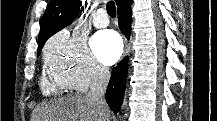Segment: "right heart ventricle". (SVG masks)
I'll return each instance as SVG.
<instances>
[{
    "instance_id": "e07e8e85",
    "label": "right heart ventricle",
    "mask_w": 217,
    "mask_h": 121,
    "mask_svg": "<svg viewBox=\"0 0 217 121\" xmlns=\"http://www.w3.org/2000/svg\"><path fill=\"white\" fill-rule=\"evenodd\" d=\"M41 88L45 94H62L68 87L57 80H49L45 75L41 79Z\"/></svg>"
}]
</instances>
